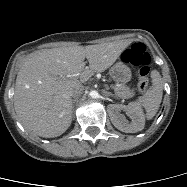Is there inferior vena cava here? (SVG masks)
<instances>
[{
	"mask_svg": "<svg viewBox=\"0 0 187 187\" xmlns=\"http://www.w3.org/2000/svg\"><path fill=\"white\" fill-rule=\"evenodd\" d=\"M83 90H84L83 85L81 84L76 85L71 91V97L74 98L79 97L83 93Z\"/></svg>",
	"mask_w": 187,
	"mask_h": 187,
	"instance_id": "inferior-vena-cava-1",
	"label": "inferior vena cava"
}]
</instances>
